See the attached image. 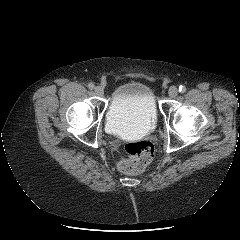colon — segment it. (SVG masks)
<instances>
[{
	"label": "colon",
	"mask_w": 240,
	"mask_h": 240,
	"mask_svg": "<svg viewBox=\"0 0 240 240\" xmlns=\"http://www.w3.org/2000/svg\"><path fill=\"white\" fill-rule=\"evenodd\" d=\"M123 150L127 158L118 164L119 169L127 174L143 172L154 157V146L148 141L129 142L124 144Z\"/></svg>",
	"instance_id": "1"
}]
</instances>
